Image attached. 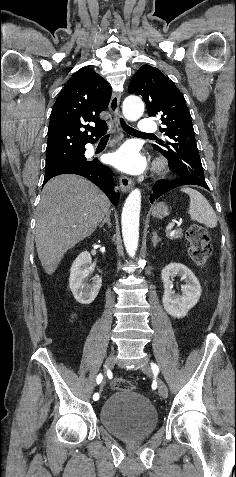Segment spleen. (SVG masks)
Returning <instances> with one entry per match:
<instances>
[{
  "mask_svg": "<svg viewBox=\"0 0 236 477\" xmlns=\"http://www.w3.org/2000/svg\"><path fill=\"white\" fill-rule=\"evenodd\" d=\"M181 191L190 197L188 210L190 218L208 228H215L217 226V216L208 200L193 188L185 187Z\"/></svg>",
  "mask_w": 236,
  "mask_h": 477,
  "instance_id": "3e777b00",
  "label": "spleen"
}]
</instances>
